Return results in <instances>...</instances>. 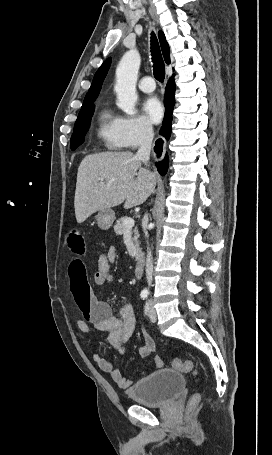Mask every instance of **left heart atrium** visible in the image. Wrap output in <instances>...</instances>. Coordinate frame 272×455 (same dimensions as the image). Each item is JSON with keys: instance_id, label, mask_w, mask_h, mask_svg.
<instances>
[{"instance_id": "obj_1", "label": "left heart atrium", "mask_w": 272, "mask_h": 455, "mask_svg": "<svg viewBox=\"0 0 272 455\" xmlns=\"http://www.w3.org/2000/svg\"><path fill=\"white\" fill-rule=\"evenodd\" d=\"M143 110L152 123H158L163 116V107L156 97H149L143 103Z\"/></svg>"}]
</instances>
